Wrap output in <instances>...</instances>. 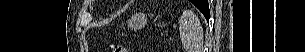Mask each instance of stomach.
Returning <instances> with one entry per match:
<instances>
[{"instance_id": "0dacf381", "label": "stomach", "mask_w": 305, "mask_h": 52, "mask_svg": "<svg viewBox=\"0 0 305 52\" xmlns=\"http://www.w3.org/2000/svg\"><path fill=\"white\" fill-rule=\"evenodd\" d=\"M147 17L143 13L134 14L128 21L129 25L134 29H139L145 26Z\"/></svg>"}]
</instances>
